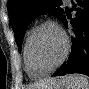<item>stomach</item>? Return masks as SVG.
<instances>
[{
	"mask_svg": "<svg viewBox=\"0 0 89 89\" xmlns=\"http://www.w3.org/2000/svg\"><path fill=\"white\" fill-rule=\"evenodd\" d=\"M43 89V88H40ZM44 89H72L71 86L65 81L64 79H59V81L55 84L52 85L48 88H44Z\"/></svg>",
	"mask_w": 89,
	"mask_h": 89,
	"instance_id": "stomach-1",
	"label": "stomach"
}]
</instances>
